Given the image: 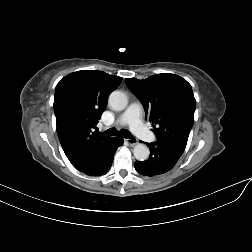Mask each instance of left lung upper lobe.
<instances>
[{"mask_svg":"<svg viewBox=\"0 0 252 252\" xmlns=\"http://www.w3.org/2000/svg\"><path fill=\"white\" fill-rule=\"evenodd\" d=\"M125 82L141 101L157 141L185 150L196 107L191 85L171 73L153 75L144 80L126 78Z\"/></svg>","mask_w":252,"mask_h":252,"instance_id":"left-lung-upper-lobe-1","label":"left lung upper lobe"}]
</instances>
